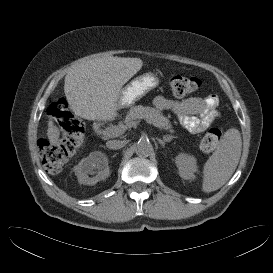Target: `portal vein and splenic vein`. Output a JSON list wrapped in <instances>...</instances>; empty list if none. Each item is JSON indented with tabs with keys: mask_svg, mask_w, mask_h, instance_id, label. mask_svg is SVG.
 Here are the masks:
<instances>
[{
	"mask_svg": "<svg viewBox=\"0 0 273 273\" xmlns=\"http://www.w3.org/2000/svg\"><path fill=\"white\" fill-rule=\"evenodd\" d=\"M127 129L126 126L118 127V126H113V127H108L103 131L104 136L108 137H117L121 134L124 133V131Z\"/></svg>",
	"mask_w": 273,
	"mask_h": 273,
	"instance_id": "1",
	"label": "portal vein and splenic vein"
}]
</instances>
